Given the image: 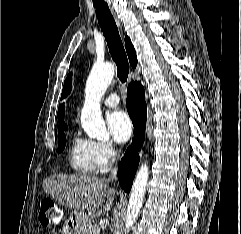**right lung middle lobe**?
Returning <instances> with one entry per match:
<instances>
[{
	"label": "right lung middle lobe",
	"mask_w": 241,
	"mask_h": 234,
	"mask_svg": "<svg viewBox=\"0 0 241 234\" xmlns=\"http://www.w3.org/2000/svg\"><path fill=\"white\" fill-rule=\"evenodd\" d=\"M68 129V128H65ZM66 145V136L63 130L58 131V153L62 152Z\"/></svg>",
	"instance_id": "dd1d6c3e"
}]
</instances>
